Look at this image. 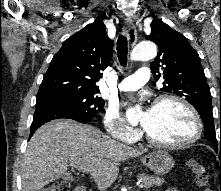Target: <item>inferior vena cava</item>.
I'll return each instance as SVG.
<instances>
[{"instance_id": "inferior-vena-cava-1", "label": "inferior vena cava", "mask_w": 221, "mask_h": 191, "mask_svg": "<svg viewBox=\"0 0 221 191\" xmlns=\"http://www.w3.org/2000/svg\"><path fill=\"white\" fill-rule=\"evenodd\" d=\"M98 188L101 190V189H103L102 187H100V186H98Z\"/></svg>"}]
</instances>
